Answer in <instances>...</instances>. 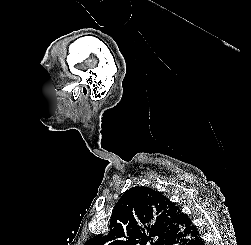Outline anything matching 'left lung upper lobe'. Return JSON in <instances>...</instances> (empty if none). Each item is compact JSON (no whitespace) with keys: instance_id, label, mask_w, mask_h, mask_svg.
I'll return each instance as SVG.
<instances>
[{"instance_id":"5c2ea615","label":"left lung upper lobe","mask_w":251,"mask_h":245,"mask_svg":"<svg viewBox=\"0 0 251 245\" xmlns=\"http://www.w3.org/2000/svg\"><path fill=\"white\" fill-rule=\"evenodd\" d=\"M181 209L160 192L145 186L127 190L116 203L110 231L84 245H164L186 220Z\"/></svg>"}]
</instances>
